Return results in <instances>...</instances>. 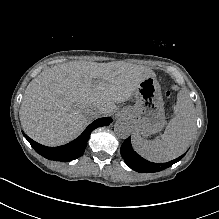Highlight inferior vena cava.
Returning a JSON list of instances; mask_svg holds the SVG:
<instances>
[{
	"label": "inferior vena cava",
	"mask_w": 219,
	"mask_h": 219,
	"mask_svg": "<svg viewBox=\"0 0 219 219\" xmlns=\"http://www.w3.org/2000/svg\"><path fill=\"white\" fill-rule=\"evenodd\" d=\"M89 112L92 117L98 118L103 115L104 109L101 104L95 103L90 106Z\"/></svg>",
	"instance_id": "inferior-vena-cava-1"
}]
</instances>
